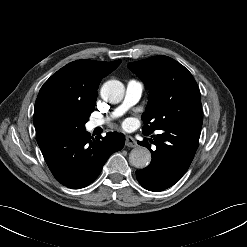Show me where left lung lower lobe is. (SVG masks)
I'll use <instances>...</instances> for the list:
<instances>
[{
    "mask_svg": "<svg viewBox=\"0 0 247 247\" xmlns=\"http://www.w3.org/2000/svg\"><path fill=\"white\" fill-rule=\"evenodd\" d=\"M201 128L185 123L171 124L138 143L151 151V163L136 171V178L149 191H162L174 185L189 168L199 145Z\"/></svg>",
    "mask_w": 247,
    "mask_h": 247,
    "instance_id": "1",
    "label": "left lung lower lobe"
}]
</instances>
